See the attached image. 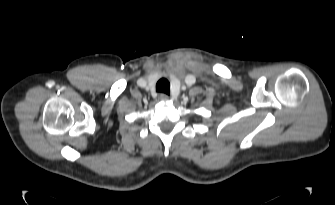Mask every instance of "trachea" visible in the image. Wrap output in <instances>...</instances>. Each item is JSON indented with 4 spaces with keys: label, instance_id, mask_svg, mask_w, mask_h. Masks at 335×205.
Listing matches in <instances>:
<instances>
[{
    "label": "trachea",
    "instance_id": "obj_1",
    "mask_svg": "<svg viewBox=\"0 0 335 205\" xmlns=\"http://www.w3.org/2000/svg\"><path fill=\"white\" fill-rule=\"evenodd\" d=\"M156 91L170 94V83L167 79L161 78L156 84Z\"/></svg>",
    "mask_w": 335,
    "mask_h": 205
}]
</instances>
